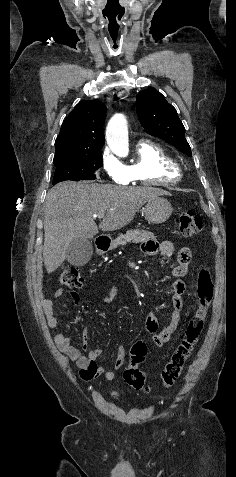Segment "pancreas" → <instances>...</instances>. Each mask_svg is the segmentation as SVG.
Masks as SVG:
<instances>
[{
    "label": "pancreas",
    "instance_id": "pancreas-1",
    "mask_svg": "<svg viewBox=\"0 0 236 477\" xmlns=\"http://www.w3.org/2000/svg\"><path fill=\"white\" fill-rule=\"evenodd\" d=\"M156 237L153 233L145 230H129L125 234H120L116 239L111 242V249H115L120 245L127 243H143L150 240H155Z\"/></svg>",
    "mask_w": 236,
    "mask_h": 477
}]
</instances>
